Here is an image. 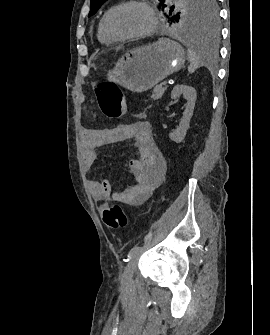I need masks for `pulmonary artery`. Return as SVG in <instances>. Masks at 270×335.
Returning a JSON list of instances; mask_svg holds the SVG:
<instances>
[{
  "label": "pulmonary artery",
  "instance_id": "e3ab8cb5",
  "mask_svg": "<svg viewBox=\"0 0 270 335\" xmlns=\"http://www.w3.org/2000/svg\"><path fill=\"white\" fill-rule=\"evenodd\" d=\"M168 3H170L171 2V0H166Z\"/></svg>",
  "mask_w": 270,
  "mask_h": 335
}]
</instances>
